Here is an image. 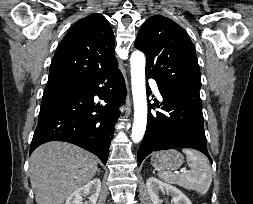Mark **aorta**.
<instances>
[{
  "instance_id": "1",
  "label": "aorta",
  "mask_w": 253,
  "mask_h": 204,
  "mask_svg": "<svg viewBox=\"0 0 253 204\" xmlns=\"http://www.w3.org/2000/svg\"><path fill=\"white\" fill-rule=\"evenodd\" d=\"M145 63V56L141 51H134L132 53L130 64L132 95L134 102V123L131 138L135 143L142 140L147 124Z\"/></svg>"
}]
</instances>
